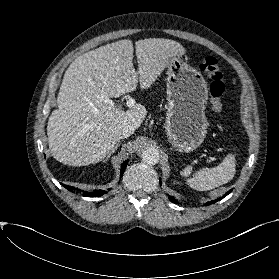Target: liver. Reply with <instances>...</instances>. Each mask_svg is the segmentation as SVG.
<instances>
[{"label":"liver","mask_w":279,"mask_h":279,"mask_svg":"<svg viewBox=\"0 0 279 279\" xmlns=\"http://www.w3.org/2000/svg\"><path fill=\"white\" fill-rule=\"evenodd\" d=\"M138 71L133 66V43L119 40L77 57L65 72L57 104L47 124L52 156L71 166L104 159L120 139L125 126L138 129L147 111L135 104L124 111L103 98H118L136 89L149 88L167 67L169 59L185 54L184 47L163 38L135 43Z\"/></svg>","instance_id":"1"}]
</instances>
